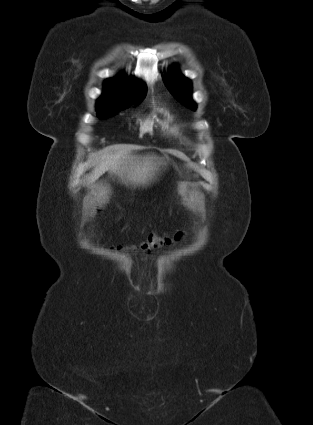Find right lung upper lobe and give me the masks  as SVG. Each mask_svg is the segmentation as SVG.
Wrapping results in <instances>:
<instances>
[{
	"label": "right lung upper lobe",
	"mask_w": 313,
	"mask_h": 425,
	"mask_svg": "<svg viewBox=\"0 0 313 425\" xmlns=\"http://www.w3.org/2000/svg\"><path fill=\"white\" fill-rule=\"evenodd\" d=\"M146 87L136 78H128L123 74L114 80H106L104 83V92L98 99V102L106 100H120L126 103H132L143 100L146 96Z\"/></svg>",
	"instance_id": "right-lung-upper-lobe-1"
}]
</instances>
